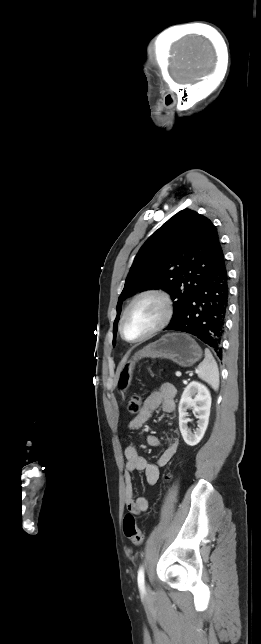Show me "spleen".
Listing matches in <instances>:
<instances>
[{
  "label": "spleen",
  "instance_id": "obj_1",
  "mask_svg": "<svg viewBox=\"0 0 261 644\" xmlns=\"http://www.w3.org/2000/svg\"><path fill=\"white\" fill-rule=\"evenodd\" d=\"M197 374L200 379L208 383L215 391L219 388V370L210 350L205 349V358L198 365Z\"/></svg>",
  "mask_w": 261,
  "mask_h": 644
}]
</instances>
